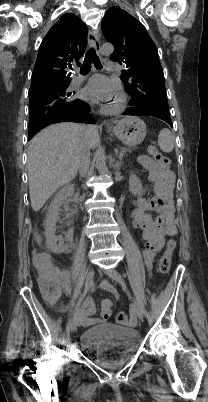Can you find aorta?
I'll list each match as a JSON object with an SVG mask.
<instances>
[{
	"mask_svg": "<svg viewBox=\"0 0 208 402\" xmlns=\"http://www.w3.org/2000/svg\"><path fill=\"white\" fill-rule=\"evenodd\" d=\"M112 52H113V46H112V48H109V50H107L105 44H103V46H101V48H100L101 56H109V54H112ZM95 160H96V166L99 170V173L101 175H104L106 173V170H105L106 164H105L103 150H98V152H96Z\"/></svg>",
	"mask_w": 208,
	"mask_h": 402,
	"instance_id": "1",
	"label": "aorta"
}]
</instances>
